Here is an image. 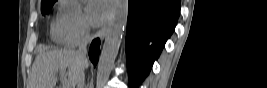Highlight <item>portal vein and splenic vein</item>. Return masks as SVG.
<instances>
[{
  "instance_id": "obj_1",
  "label": "portal vein and splenic vein",
  "mask_w": 267,
  "mask_h": 88,
  "mask_svg": "<svg viewBox=\"0 0 267 88\" xmlns=\"http://www.w3.org/2000/svg\"><path fill=\"white\" fill-rule=\"evenodd\" d=\"M60 75H61V78L62 79H65L66 78V71L64 69H62L60 71ZM63 88H70L69 84L67 83V81H64L63 82Z\"/></svg>"
}]
</instances>
